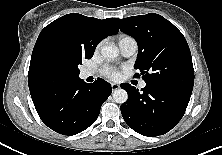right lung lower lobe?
Returning <instances> with one entry per match:
<instances>
[{
    "label": "right lung lower lobe",
    "instance_id": "98d812e1",
    "mask_svg": "<svg viewBox=\"0 0 222 155\" xmlns=\"http://www.w3.org/2000/svg\"><path fill=\"white\" fill-rule=\"evenodd\" d=\"M111 94V85L101 78L92 84L78 77L58 78L46 93L31 94L41 120L63 135H75L97 119L102 104Z\"/></svg>",
    "mask_w": 222,
    "mask_h": 155
}]
</instances>
